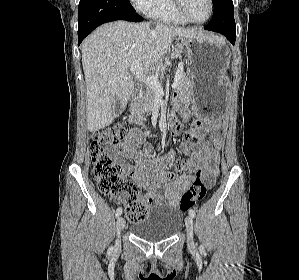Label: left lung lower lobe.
<instances>
[{"label":"left lung lower lobe","instance_id":"left-lung-lower-lobe-1","mask_svg":"<svg viewBox=\"0 0 299 280\" xmlns=\"http://www.w3.org/2000/svg\"><path fill=\"white\" fill-rule=\"evenodd\" d=\"M214 16L204 29L219 32L234 45L236 40V25L232 0H217L213 2Z\"/></svg>","mask_w":299,"mask_h":280}]
</instances>
